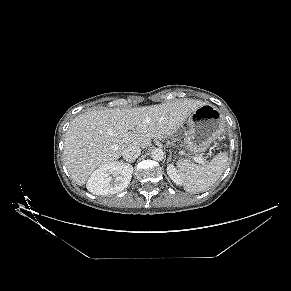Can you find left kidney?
<instances>
[{
	"instance_id": "1",
	"label": "left kidney",
	"mask_w": 291,
	"mask_h": 291,
	"mask_svg": "<svg viewBox=\"0 0 291 291\" xmlns=\"http://www.w3.org/2000/svg\"><path fill=\"white\" fill-rule=\"evenodd\" d=\"M167 174L176 185L182 184L181 176L173 164L167 166Z\"/></svg>"
}]
</instances>
